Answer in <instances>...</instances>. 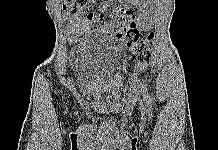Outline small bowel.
Here are the masks:
<instances>
[{"mask_svg":"<svg viewBox=\"0 0 218 150\" xmlns=\"http://www.w3.org/2000/svg\"><path fill=\"white\" fill-rule=\"evenodd\" d=\"M95 0H86L68 16L70 22V38L91 31L122 39L133 30L150 28L158 0H126L111 13V20L103 21L109 13V7L115 0H105L97 12H91L89 3ZM135 9L140 11L139 14ZM82 16H85L82 18Z\"/></svg>","mask_w":218,"mask_h":150,"instance_id":"c3829d8e","label":"small bowel"}]
</instances>
